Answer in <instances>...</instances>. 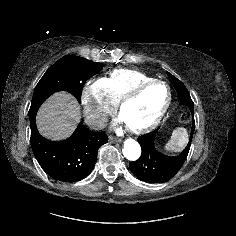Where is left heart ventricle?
<instances>
[{"label":"left heart ventricle","mask_w":236,"mask_h":236,"mask_svg":"<svg viewBox=\"0 0 236 236\" xmlns=\"http://www.w3.org/2000/svg\"><path fill=\"white\" fill-rule=\"evenodd\" d=\"M167 98V88L162 84H154L145 89L136 100L126 105L121 117L128 125H146L158 115Z\"/></svg>","instance_id":"b2bd125f"}]
</instances>
